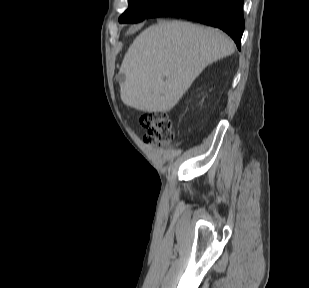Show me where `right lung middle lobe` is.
<instances>
[{
	"mask_svg": "<svg viewBox=\"0 0 309 288\" xmlns=\"http://www.w3.org/2000/svg\"><path fill=\"white\" fill-rule=\"evenodd\" d=\"M169 0H128L129 7L119 18L120 23H136L149 15Z\"/></svg>",
	"mask_w": 309,
	"mask_h": 288,
	"instance_id": "obj_1",
	"label": "right lung middle lobe"
}]
</instances>
